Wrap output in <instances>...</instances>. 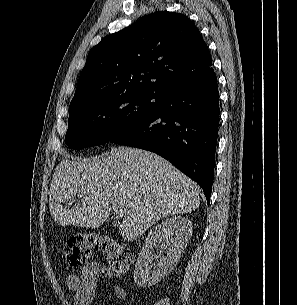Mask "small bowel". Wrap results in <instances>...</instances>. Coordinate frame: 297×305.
Masks as SVG:
<instances>
[{
  "label": "small bowel",
  "instance_id": "obj_1",
  "mask_svg": "<svg viewBox=\"0 0 297 305\" xmlns=\"http://www.w3.org/2000/svg\"><path fill=\"white\" fill-rule=\"evenodd\" d=\"M107 280H113L114 275L107 267H101L99 264L92 262L86 265L79 275L70 274L67 276L68 287L74 294V305H90L97 287L99 276ZM127 297L125 288L115 286L113 288V298L116 301H123Z\"/></svg>",
  "mask_w": 297,
  "mask_h": 305
}]
</instances>
